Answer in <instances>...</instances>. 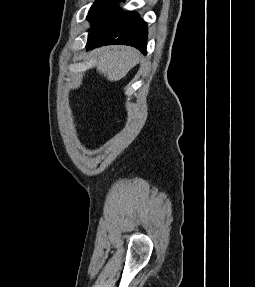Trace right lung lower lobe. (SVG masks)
Wrapping results in <instances>:
<instances>
[{"mask_svg": "<svg viewBox=\"0 0 255 287\" xmlns=\"http://www.w3.org/2000/svg\"><path fill=\"white\" fill-rule=\"evenodd\" d=\"M147 25L136 12H118L92 27L87 48L94 46L124 44L133 46L146 54Z\"/></svg>", "mask_w": 255, "mask_h": 287, "instance_id": "obj_1", "label": "right lung lower lobe"}]
</instances>
